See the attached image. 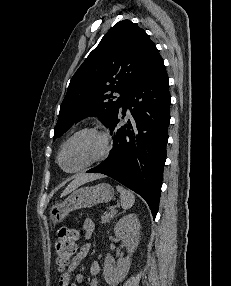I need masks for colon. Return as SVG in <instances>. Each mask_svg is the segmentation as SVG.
<instances>
[{
	"mask_svg": "<svg viewBox=\"0 0 231 286\" xmlns=\"http://www.w3.org/2000/svg\"><path fill=\"white\" fill-rule=\"evenodd\" d=\"M78 232L63 226L58 230L56 241V264L59 270H65L77 249Z\"/></svg>",
	"mask_w": 231,
	"mask_h": 286,
	"instance_id": "colon-1",
	"label": "colon"
}]
</instances>
